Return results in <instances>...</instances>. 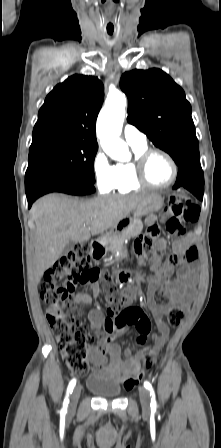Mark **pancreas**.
Here are the masks:
<instances>
[{
    "label": "pancreas",
    "mask_w": 221,
    "mask_h": 448,
    "mask_svg": "<svg viewBox=\"0 0 221 448\" xmlns=\"http://www.w3.org/2000/svg\"><path fill=\"white\" fill-rule=\"evenodd\" d=\"M143 223L141 221L133 222L129 227L123 230L120 234L112 237L109 245V250L114 254H120L124 250L125 242L139 235L142 231Z\"/></svg>",
    "instance_id": "obj_1"
}]
</instances>
